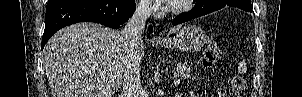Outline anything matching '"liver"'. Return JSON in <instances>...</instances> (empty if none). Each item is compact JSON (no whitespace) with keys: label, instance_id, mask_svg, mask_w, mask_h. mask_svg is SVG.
Returning <instances> with one entry per match:
<instances>
[{"label":"liver","instance_id":"obj_1","mask_svg":"<svg viewBox=\"0 0 302 97\" xmlns=\"http://www.w3.org/2000/svg\"><path fill=\"white\" fill-rule=\"evenodd\" d=\"M178 31L175 27L168 34ZM120 33L96 23H77L55 33L43 50L52 97H112L128 63ZM138 57H144L143 40Z\"/></svg>","mask_w":302,"mask_h":97}]
</instances>
